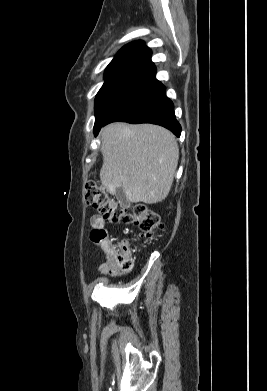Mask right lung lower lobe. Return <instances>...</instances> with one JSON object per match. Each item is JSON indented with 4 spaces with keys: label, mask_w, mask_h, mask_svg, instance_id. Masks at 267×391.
<instances>
[{
    "label": "right lung lower lobe",
    "mask_w": 267,
    "mask_h": 391,
    "mask_svg": "<svg viewBox=\"0 0 267 391\" xmlns=\"http://www.w3.org/2000/svg\"><path fill=\"white\" fill-rule=\"evenodd\" d=\"M114 121L133 124L152 123L163 126L180 136L181 126L176 120L173 102L165 95V86L154 79L119 106L110 117L94 132Z\"/></svg>",
    "instance_id": "right-lung-lower-lobe-1"
}]
</instances>
